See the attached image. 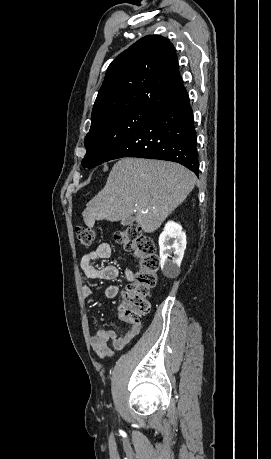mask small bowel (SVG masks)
<instances>
[{"label":"small bowel","mask_w":271,"mask_h":459,"mask_svg":"<svg viewBox=\"0 0 271 459\" xmlns=\"http://www.w3.org/2000/svg\"><path fill=\"white\" fill-rule=\"evenodd\" d=\"M111 254L112 248L110 244L106 242L100 243L95 250L81 257L79 263L80 269L89 279L115 280L120 274L118 267L114 265L97 267L93 264L95 260H106L110 258ZM124 276L129 282H132L135 278L134 272L130 269L124 270ZM118 292L119 287L115 284H111L105 289L104 297L108 299L115 298ZM82 294L84 298H90L93 295V291L89 286H84L82 288ZM140 330V323L132 324L122 336H117L116 333L111 330L99 329L91 336L90 345L100 359H109L113 356V352L108 346L109 342L112 343L115 349H122L139 334Z\"/></svg>","instance_id":"obj_1"}]
</instances>
